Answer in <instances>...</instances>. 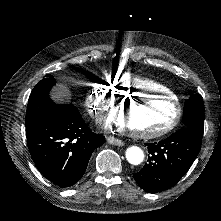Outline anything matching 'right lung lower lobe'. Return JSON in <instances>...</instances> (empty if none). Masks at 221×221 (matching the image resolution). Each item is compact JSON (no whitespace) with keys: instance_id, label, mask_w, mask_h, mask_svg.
Masks as SVG:
<instances>
[{"instance_id":"right-lung-lower-lobe-1","label":"right lung lower lobe","mask_w":221,"mask_h":221,"mask_svg":"<svg viewBox=\"0 0 221 221\" xmlns=\"http://www.w3.org/2000/svg\"><path fill=\"white\" fill-rule=\"evenodd\" d=\"M26 134L35 165L60 187L78 182L92 152L105 141L89 130L79 113L34 121L26 126Z\"/></svg>"}]
</instances>
